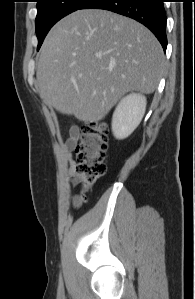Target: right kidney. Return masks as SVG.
Wrapping results in <instances>:
<instances>
[{"label": "right kidney", "mask_w": 195, "mask_h": 299, "mask_svg": "<svg viewBox=\"0 0 195 299\" xmlns=\"http://www.w3.org/2000/svg\"><path fill=\"white\" fill-rule=\"evenodd\" d=\"M146 109V98L131 93L117 105L112 117V132L117 139L127 138L140 124Z\"/></svg>", "instance_id": "1"}]
</instances>
